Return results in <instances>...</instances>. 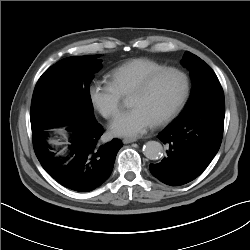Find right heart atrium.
<instances>
[{
    "mask_svg": "<svg viewBox=\"0 0 250 250\" xmlns=\"http://www.w3.org/2000/svg\"><path fill=\"white\" fill-rule=\"evenodd\" d=\"M88 97L93 108L104 118L111 119L119 114L122 95L110 81H93L88 88Z\"/></svg>",
    "mask_w": 250,
    "mask_h": 250,
    "instance_id": "1",
    "label": "right heart atrium"
}]
</instances>
